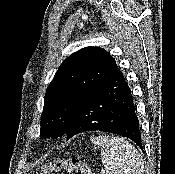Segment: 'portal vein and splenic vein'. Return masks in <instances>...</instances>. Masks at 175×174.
Instances as JSON below:
<instances>
[{
    "label": "portal vein and splenic vein",
    "mask_w": 175,
    "mask_h": 174,
    "mask_svg": "<svg viewBox=\"0 0 175 174\" xmlns=\"http://www.w3.org/2000/svg\"><path fill=\"white\" fill-rule=\"evenodd\" d=\"M104 173V169H101V174Z\"/></svg>",
    "instance_id": "obj_1"
}]
</instances>
